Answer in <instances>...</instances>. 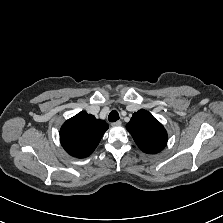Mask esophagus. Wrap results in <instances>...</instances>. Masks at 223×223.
Returning a JSON list of instances; mask_svg holds the SVG:
<instances>
[{"instance_id": "34e87169", "label": "esophagus", "mask_w": 223, "mask_h": 223, "mask_svg": "<svg viewBox=\"0 0 223 223\" xmlns=\"http://www.w3.org/2000/svg\"><path fill=\"white\" fill-rule=\"evenodd\" d=\"M122 124V122L121 121H116V122H113V123H111V125L112 126H119V125H121Z\"/></svg>"}]
</instances>
